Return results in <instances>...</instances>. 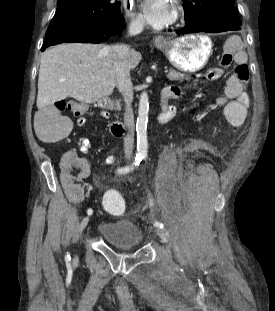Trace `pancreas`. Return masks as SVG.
Instances as JSON below:
<instances>
[{
	"mask_svg": "<svg viewBox=\"0 0 275 311\" xmlns=\"http://www.w3.org/2000/svg\"><path fill=\"white\" fill-rule=\"evenodd\" d=\"M168 79L171 81H178L184 79L185 75L179 72H176L174 70H171L169 74L167 75ZM118 108H120V105L118 104Z\"/></svg>",
	"mask_w": 275,
	"mask_h": 311,
	"instance_id": "pancreas-1",
	"label": "pancreas"
}]
</instances>
